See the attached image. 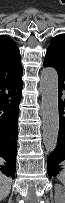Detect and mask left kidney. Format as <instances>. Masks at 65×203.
<instances>
[{"instance_id": "5707ae66", "label": "left kidney", "mask_w": 65, "mask_h": 203, "mask_svg": "<svg viewBox=\"0 0 65 203\" xmlns=\"http://www.w3.org/2000/svg\"><path fill=\"white\" fill-rule=\"evenodd\" d=\"M55 203H65V188L60 185H55Z\"/></svg>"}]
</instances>
